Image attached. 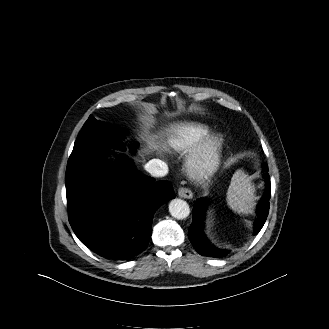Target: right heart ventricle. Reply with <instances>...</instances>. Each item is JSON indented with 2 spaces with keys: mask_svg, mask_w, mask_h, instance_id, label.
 <instances>
[{
  "mask_svg": "<svg viewBox=\"0 0 329 329\" xmlns=\"http://www.w3.org/2000/svg\"><path fill=\"white\" fill-rule=\"evenodd\" d=\"M211 134V129L197 123L172 125L168 130L167 147L177 153L192 150L198 143Z\"/></svg>",
  "mask_w": 329,
  "mask_h": 329,
  "instance_id": "1",
  "label": "right heart ventricle"
}]
</instances>
